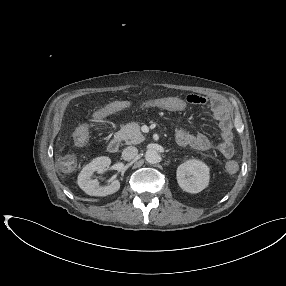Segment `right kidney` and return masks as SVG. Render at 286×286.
I'll return each mask as SVG.
<instances>
[{
	"mask_svg": "<svg viewBox=\"0 0 286 286\" xmlns=\"http://www.w3.org/2000/svg\"><path fill=\"white\" fill-rule=\"evenodd\" d=\"M111 164L109 157L101 156L93 159L87 164L78 175L79 187L90 196H107L117 192L120 188V182L113 180L109 185L100 186L97 179H92L94 172L104 173Z\"/></svg>",
	"mask_w": 286,
	"mask_h": 286,
	"instance_id": "right-kidney-1",
	"label": "right kidney"
}]
</instances>
